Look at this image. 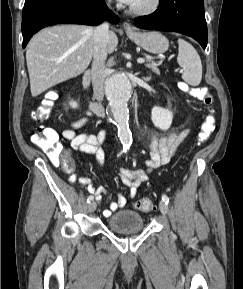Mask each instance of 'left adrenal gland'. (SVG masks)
<instances>
[{"label": "left adrenal gland", "instance_id": "1", "mask_svg": "<svg viewBox=\"0 0 243 289\" xmlns=\"http://www.w3.org/2000/svg\"><path fill=\"white\" fill-rule=\"evenodd\" d=\"M149 79H150V77H147V78H146V80H149Z\"/></svg>", "mask_w": 243, "mask_h": 289}]
</instances>
